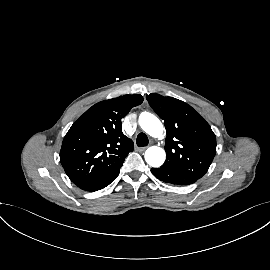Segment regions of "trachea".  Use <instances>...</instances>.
Masks as SVG:
<instances>
[{"label": "trachea", "instance_id": "obj_1", "mask_svg": "<svg viewBox=\"0 0 270 270\" xmlns=\"http://www.w3.org/2000/svg\"><path fill=\"white\" fill-rule=\"evenodd\" d=\"M138 147L147 146L149 143L148 137L145 133H139L136 140Z\"/></svg>", "mask_w": 270, "mask_h": 270}]
</instances>
